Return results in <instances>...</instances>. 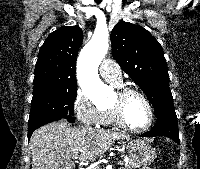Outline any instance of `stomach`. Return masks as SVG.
<instances>
[{
  "label": "stomach",
  "mask_w": 200,
  "mask_h": 169,
  "mask_svg": "<svg viewBox=\"0 0 200 169\" xmlns=\"http://www.w3.org/2000/svg\"><path fill=\"white\" fill-rule=\"evenodd\" d=\"M126 146L130 159L139 167L149 165L156 158L155 150L142 139H126Z\"/></svg>",
  "instance_id": "obj_1"
}]
</instances>
